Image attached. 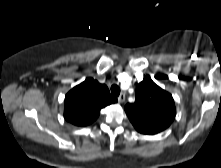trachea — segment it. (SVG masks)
Here are the masks:
<instances>
[{
    "label": "trachea",
    "mask_w": 221,
    "mask_h": 168,
    "mask_svg": "<svg viewBox=\"0 0 221 168\" xmlns=\"http://www.w3.org/2000/svg\"><path fill=\"white\" fill-rule=\"evenodd\" d=\"M111 93L113 94V95H115V96H119V94H120V88H119V86L118 85H112L111 86Z\"/></svg>",
    "instance_id": "trachea-1"
}]
</instances>
